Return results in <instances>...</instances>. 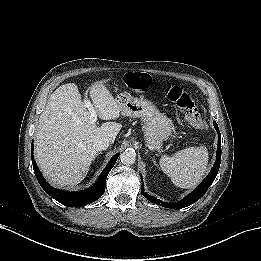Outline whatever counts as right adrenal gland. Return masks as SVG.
Here are the masks:
<instances>
[{"instance_id":"obj_1","label":"right adrenal gland","mask_w":261,"mask_h":261,"mask_svg":"<svg viewBox=\"0 0 261 261\" xmlns=\"http://www.w3.org/2000/svg\"><path fill=\"white\" fill-rule=\"evenodd\" d=\"M100 154H101V153L99 152V153L96 154V156H98V155H100Z\"/></svg>"}]
</instances>
